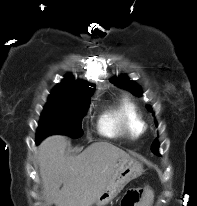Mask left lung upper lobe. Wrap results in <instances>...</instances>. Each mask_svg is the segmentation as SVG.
Instances as JSON below:
<instances>
[{"mask_svg":"<svg viewBox=\"0 0 197 206\" xmlns=\"http://www.w3.org/2000/svg\"><path fill=\"white\" fill-rule=\"evenodd\" d=\"M111 82L120 86V87H123L125 89L130 90L136 96L141 95L139 85H137L133 81L129 80L125 76H121L119 78L115 77V78L111 79ZM148 110L152 111L151 108H148ZM151 149H152L154 154L159 155L158 154L159 143H158L157 139L153 142Z\"/></svg>","mask_w":197,"mask_h":206,"instance_id":"obj_1","label":"left lung upper lobe"}]
</instances>
